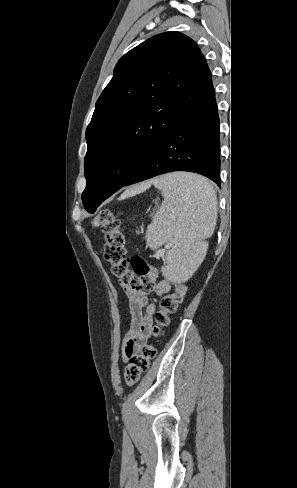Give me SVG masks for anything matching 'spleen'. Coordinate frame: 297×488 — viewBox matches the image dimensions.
<instances>
[{"mask_svg":"<svg viewBox=\"0 0 297 488\" xmlns=\"http://www.w3.org/2000/svg\"><path fill=\"white\" fill-rule=\"evenodd\" d=\"M164 201L146 232L147 244L155 249L167 244L164 276L181 280L188 264H198V247L212 235L217 218L213 187L201 176L174 172L154 179Z\"/></svg>","mask_w":297,"mask_h":488,"instance_id":"obj_1","label":"spleen"}]
</instances>
